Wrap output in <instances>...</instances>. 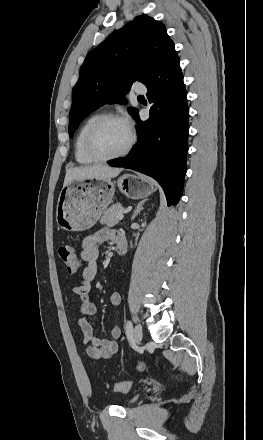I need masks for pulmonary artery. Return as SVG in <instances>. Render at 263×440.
Listing matches in <instances>:
<instances>
[{
	"mask_svg": "<svg viewBox=\"0 0 263 440\" xmlns=\"http://www.w3.org/2000/svg\"><path fill=\"white\" fill-rule=\"evenodd\" d=\"M134 91H135L137 94H144V93L146 92V88H144V87H140V86H137V87H135Z\"/></svg>",
	"mask_w": 263,
	"mask_h": 440,
	"instance_id": "e3ab8cb5",
	"label": "pulmonary artery"
}]
</instances>
